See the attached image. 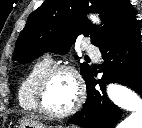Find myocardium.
<instances>
[{"label": "myocardium", "instance_id": "myocardium-1", "mask_svg": "<svg viewBox=\"0 0 142 128\" xmlns=\"http://www.w3.org/2000/svg\"><path fill=\"white\" fill-rule=\"evenodd\" d=\"M58 72H68L69 74H71V76L75 81L76 91H77L76 99L73 105L68 110L63 112H53L49 110L44 104V94L47 85L51 77ZM85 95H86L85 84L79 71L74 66L69 64L51 65L47 70H45V72L39 78L35 90V100L38 110L49 117L57 119L68 117L74 114L75 112H77L84 103Z\"/></svg>", "mask_w": 142, "mask_h": 128}]
</instances>
